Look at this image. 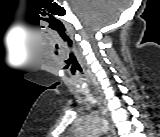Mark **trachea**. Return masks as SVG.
I'll return each instance as SVG.
<instances>
[{
    "label": "trachea",
    "instance_id": "trachea-1",
    "mask_svg": "<svg viewBox=\"0 0 160 137\" xmlns=\"http://www.w3.org/2000/svg\"><path fill=\"white\" fill-rule=\"evenodd\" d=\"M72 59H73V61H72V73H74L75 72V69H79L80 68V66H79V64H78V62L76 61V59L73 57V55H72Z\"/></svg>",
    "mask_w": 160,
    "mask_h": 137
}]
</instances>
